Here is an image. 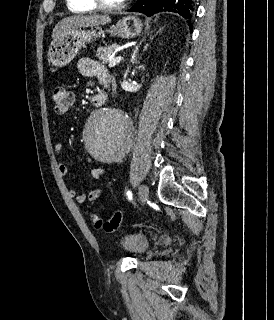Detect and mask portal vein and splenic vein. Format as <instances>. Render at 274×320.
<instances>
[{
  "label": "portal vein and splenic vein",
  "instance_id": "18ae733b",
  "mask_svg": "<svg viewBox=\"0 0 274 320\" xmlns=\"http://www.w3.org/2000/svg\"><path fill=\"white\" fill-rule=\"evenodd\" d=\"M120 60H122L121 56H118V58H109V68H113L116 64H120Z\"/></svg>",
  "mask_w": 274,
  "mask_h": 320
}]
</instances>
